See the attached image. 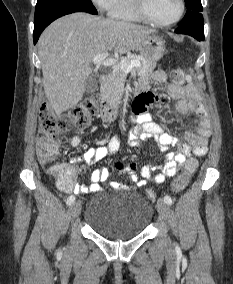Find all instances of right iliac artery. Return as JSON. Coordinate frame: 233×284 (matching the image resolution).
<instances>
[{
    "mask_svg": "<svg viewBox=\"0 0 233 284\" xmlns=\"http://www.w3.org/2000/svg\"><path fill=\"white\" fill-rule=\"evenodd\" d=\"M74 201H75V196L70 195V196L67 198V200H66V204H67V205H71V204L74 203Z\"/></svg>",
    "mask_w": 233,
    "mask_h": 284,
    "instance_id": "right-iliac-artery-1",
    "label": "right iliac artery"
}]
</instances>
